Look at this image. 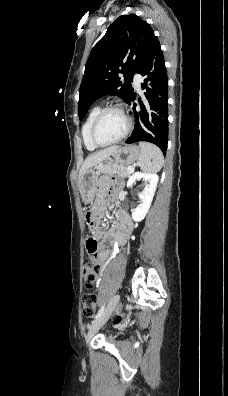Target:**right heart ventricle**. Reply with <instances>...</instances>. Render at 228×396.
I'll list each match as a JSON object with an SVG mask.
<instances>
[{
	"label": "right heart ventricle",
	"mask_w": 228,
	"mask_h": 396,
	"mask_svg": "<svg viewBox=\"0 0 228 396\" xmlns=\"http://www.w3.org/2000/svg\"><path fill=\"white\" fill-rule=\"evenodd\" d=\"M101 109L102 108L99 105H95L94 107H92L91 110L89 111L84 123H83V126H82L83 142H84L85 147L90 151L97 149V146H95L90 139V128H91L94 118L96 117V115L98 114V112Z\"/></svg>",
	"instance_id": "1"
}]
</instances>
